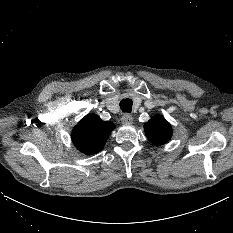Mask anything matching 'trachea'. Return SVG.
I'll list each match as a JSON object with an SVG mask.
<instances>
[{
	"label": "trachea",
	"mask_w": 233,
	"mask_h": 233,
	"mask_svg": "<svg viewBox=\"0 0 233 233\" xmlns=\"http://www.w3.org/2000/svg\"><path fill=\"white\" fill-rule=\"evenodd\" d=\"M120 108L123 112L130 113L132 111V100L125 98L120 101Z\"/></svg>",
	"instance_id": "1"
}]
</instances>
